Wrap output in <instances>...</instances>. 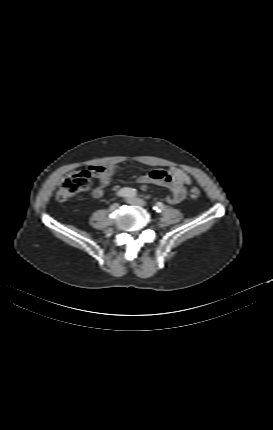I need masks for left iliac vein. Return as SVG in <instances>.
Masks as SVG:
<instances>
[{
    "mask_svg": "<svg viewBox=\"0 0 273 430\" xmlns=\"http://www.w3.org/2000/svg\"><path fill=\"white\" fill-rule=\"evenodd\" d=\"M126 202L132 205L145 206L146 202L140 198H128Z\"/></svg>",
    "mask_w": 273,
    "mask_h": 430,
    "instance_id": "4c4485c4",
    "label": "left iliac vein"
}]
</instances>
